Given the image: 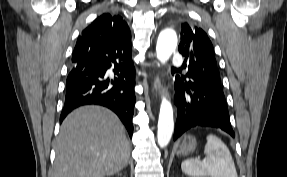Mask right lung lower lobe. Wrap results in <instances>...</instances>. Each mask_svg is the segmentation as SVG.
Returning <instances> with one entry per match:
<instances>
[{"label": "right lung lower lobe", "instance_id": "1", "mask_svg": "<svg viewBox=\"0 0 287 177\" xmlns=\"http://www.w3.org/2000/svg\"><path fill=\"white\" fill-rule=\"evenodd\" d=\"M130 42L92 44L87 56L72 65L66 81V96L60 123L74 109L83 105H102L114 111L133 134L135 68ZM114 67V78L107 70Z\"/></svg>", "mask_w": 287, "mask_h": 177}]
</instances>
